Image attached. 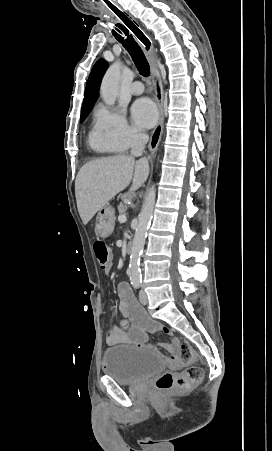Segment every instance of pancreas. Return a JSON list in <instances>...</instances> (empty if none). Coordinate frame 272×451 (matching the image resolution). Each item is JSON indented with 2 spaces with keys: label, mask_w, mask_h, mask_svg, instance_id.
<instances>
[{
  "label": "pancreas",
  "mask_w": 272,
  "mask_h": 451,
  "mask_svg": "<svg viewBox=\"0 0 272 451\" xmlns=\"http://www.w3.org/2000/svg\"><path fill=\"white\" fill-rule=\"evenodd\" d=\"M121 200H130V196L129 194H122L121 196ZM119 214H123V212H126V208L124 206V204H119L118 208H117Z\"/></svg>",
  "instance_id": "1"
}]
</instances>
